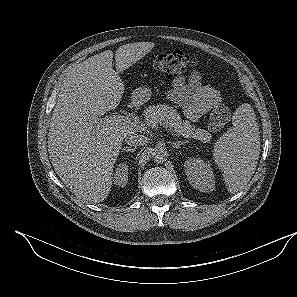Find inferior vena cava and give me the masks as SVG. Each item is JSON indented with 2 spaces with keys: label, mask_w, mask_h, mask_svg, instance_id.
<instances>
[{
  "label": "inferior vena cava",
  "mask_w": 297,
  "mask_h": 297,
  "mask_svg": "<svg viewBox=\"0 0 297 297\" xmlns=\"http://www.w3.org/2000/svg\"><path fill=\"white\" fill-rule=\"evenodd\" d=\"M148 138L145 135H140L136 133H130L126 135L125 142L131 146H142L148 142Z\"/></svg>",
  "instance_id": "1"
}]
</instances>
